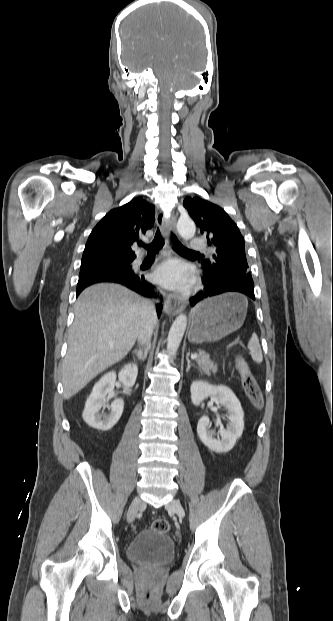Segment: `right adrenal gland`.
<instances>
[{"mask_svg":"<svg viewBox=\"0 0 333 621\" xmlns=\"http://www.w3.org/2000/svg\"><path fill=\"white\" fill-rule=\"evenodd\" d=\"M149 348H150V345H148L144 350L143 349H139V350L135 349V350L132 351V353L135 354L140 361H144V360H146V358L148 356Z\"/></svg>","mask_w":333,"mask_h":621,"instance_id":"1","label":"right adrenal gland"}]
</instances>
